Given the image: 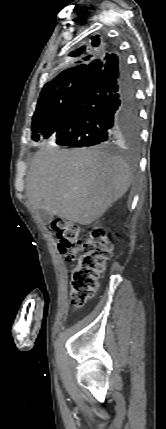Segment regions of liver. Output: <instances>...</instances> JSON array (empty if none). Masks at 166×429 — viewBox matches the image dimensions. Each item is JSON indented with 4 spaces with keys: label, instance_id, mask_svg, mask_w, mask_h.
Listing matches in <instances>:
<instances>
[{
    "label": "liver",
    "instance_id": "obj_1",
    "mask_svg": "<svg viewBox=\"0 0 166 429\" xmlns=\"http://www.w3.org/2000/svg\"><path fill=\"white\" fill-rule=\"evenodd\" d=\"M26 194L33 210L89 225L128 190L129 165L99 148L37 152L27 175Z\"/></svg>",
    "mask_w": 166,
    "mask_h": 429
}]
</instances>
